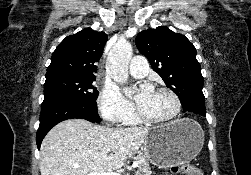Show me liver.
Returning <instances> with one entry per match:
<instances>
[{
	"instance_id": "1",
	"label": "liver",
	"mask_w": 251,
	"mask_h": 175,
	"mask_svg": "<svg viewBox=\"0 0 251 175\" xmlns=\"http://www.w3.org/2000/svg\"><path fill=\"white\" fill-rule=\"evenodd\" d=\"M149 129L103 127L86 119L61 121L41 143V175H87L119 169L138 151Z\"/></svg>"
}]
</instances>
